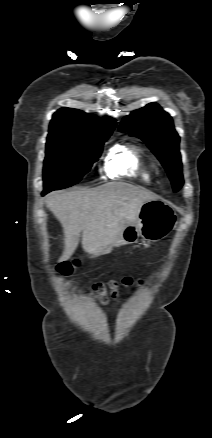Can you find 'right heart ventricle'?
<instances>
[{"label":"right heart ventricle","mask_w":212,"mask_h":438,"mask_svg":"<svg viewBox=\"0 0 212 438\" xmlns=\"http://www.w3.org/2000/svg\"><path fill=\"white\" fill-rule=\"evenodd\" d=\"M104 168L111 178L138 177L152 183L154 172L145 164L140 150L133 145H114L106 155Z\"/></svg>","instance_id":"right-heart-ventricle-1"}]
</instances>
